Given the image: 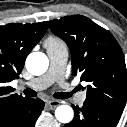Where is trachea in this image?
Segmentation results:
<instances>
[{
	"mask_svg": "<svg viewBox=\"0 0 127 127\" xmlns=\"http://www.w3.org/2000/svg\"><path fill=\"white\" fill-rule=\"evenodd\" d=\"M76 90L77 89H75L74 91H76ZM23 92H24V94H26L29 97H36L37 96L36 91L29 89V88L25 89ZM72 94H73V92H69V93L60 92V93H55L54 97L57 99H67V98L71 97Z\"/></svg>",
	"mask_w": 127,
	"mask_h": 127,
	"instance_id": "obj_1",
	"label": "trachea"
}]
</instances>
